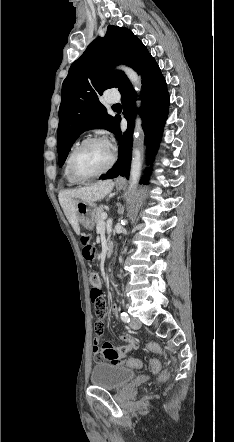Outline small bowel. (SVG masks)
Returning <instances> with one entry per match:
<instances>
[{
	"mask_svg": "<svg viewBox=\"0 0 234 442\" xmlns=\"http://www.w3.org/2000/svg\"><path fill=\"white\" fill-rule=\"evenodd\" d=\"M97 288L101 289V281L99 278V282L96 285ZM111 311L117 310V305L111 304ZM107 327V317L104 314L99 315L98 319L94 320V328L93 331L96 333L93 336L92 341L93 345V354L95 359L98 361L96 364L97 369L99 370H111L117 369L119 365L128 364L127 356L128 354L139 347L137 342H134V337L130 335H121L120 340L125 342L126 345L120 348H117L110 343H105L103 345H99L102 342L104 337V331Z\"/></svg>",
	"mask_w": 234,
	"mask_h": 442,
	"instance_id": "small-bowel-1",
	"label": "small bowel"
}]
</instances>
